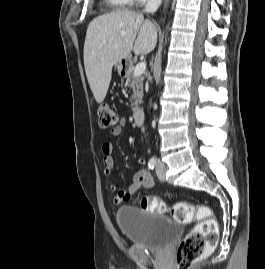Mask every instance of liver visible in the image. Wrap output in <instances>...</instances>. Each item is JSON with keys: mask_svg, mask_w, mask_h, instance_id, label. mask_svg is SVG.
<instances>
[{"mask_svg": "<svg viewBox=\"0 0 265 269\" xmlns=\"http://www.w3.org/2000/svg\"><path fill=\"white\" fill-rule=\"evenodd\" d=\"M157 28L141 13L118 10L94 18L84 43V66L88 83L97 103L106 97L112 67L116 61L146 55L157 44Z\"/></svg>", "mask_w": 265, "mask_h": 269, "instance_id": "1", "label": "liver"}]
</instances>
